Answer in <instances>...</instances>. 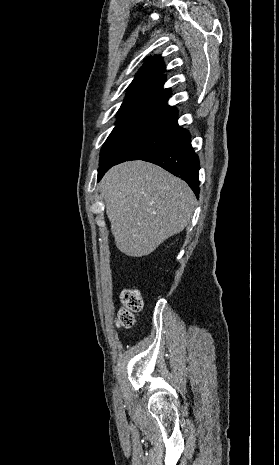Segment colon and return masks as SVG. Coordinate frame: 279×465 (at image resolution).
I'll list each match as a JSON object with an SVG mask.
<instances>
[{
	"label": "colon",
	"instance_id": "obj_1",
	"mask_svg": "<svg viewBox=\"0 0 279 465\" xmlns=\"http://www.w3.org/2000/svg\"><path fill=\"white\" fill-rule=\"evenodd\" d=\"M121 307L117 314L116 323L121 328H130L135 322V313L143 307L142 294L138 289L124 290L120 296Z\"/></svg>",
	"mask_w": 279,
	"mask_h": 465
}]
</instances>
